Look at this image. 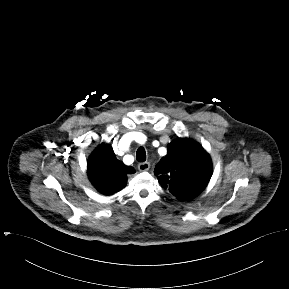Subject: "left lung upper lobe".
Returning a JSON list of instances; mask_svg holds the SVG:
<instances>
[{"label": "left lung upper lobe", "mask_w": 289, "mask_h": 289, "mask_svg": "<svg viewBox=\"0 0 289 289\" xmlns=\"http://www.w3.org/2000/svg\"><path fill=\"white\" fill-rule=\"evenodd\" d=\"M167 149V155L154 170L161 186L180 200L196 197L211 178L209 155L199 143L188 138L173 140Z\"/></svg>", "instance_id": "5c2ea615"}]
</instances>
